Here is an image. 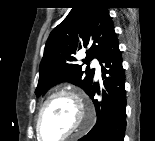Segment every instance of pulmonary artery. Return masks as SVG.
<instances>
[{
	"label": "pulmonary artery",
	"mask_w": 155,
	"mask_h": 141,
	"mask_svg": "<svg viewBox=\"0 0 155 141\" xmlns=\"http://www.w3.org/2000/svg\"><path fill=\"white\" fill-rule=\"evenodd\" d=\"M93 65L96 66V74L97 76H100L101 75V70H100V67L98 65V61L97 60H93Z\"/></svg>",
	"instance_id": "e3ab8cb5"
}]
</instances>
